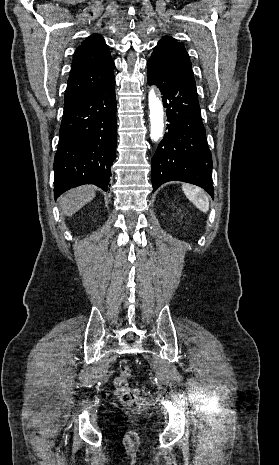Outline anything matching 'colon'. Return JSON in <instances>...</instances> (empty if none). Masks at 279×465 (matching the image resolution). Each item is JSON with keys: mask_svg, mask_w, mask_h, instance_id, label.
Wrapping results in <instances>:
<instances>
[{"mask_svg": "<svg viewBox=\"0 0 279 465\" xmlns=\"http://www.w3.org/2000/svg\"><path fill=\"white\" fill-rule=\"evenodd\" d=\"M130 369L123 365L119 376L115 379V391L120 401L130 409L140 407L142 398L139 389L130 386Z\"/></svg>", "mask_w": 279, "mask_h": 465, "instance_id": "colon-1", "label": "colon"}]
</instances>
